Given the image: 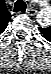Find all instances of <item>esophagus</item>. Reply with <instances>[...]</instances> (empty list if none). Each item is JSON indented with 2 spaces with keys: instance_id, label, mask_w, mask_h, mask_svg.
<instances>
[{
  "instance_id": "34e87169",
  "label": "esophagus",
  "mask_w": 51,
  "mask_h": 74,
  "mask_svg": "<svg viewBox=\"0 0 51 74\" xmlns=\"http://www.w3.org/2000/svg\"><path fill=\"white\" fill-rule=\"evenodd\" d=\"M36 10L35 9H28L27 10V13L29 14V15H35L36 14Z\"/></svg>"
}]
</instances>
